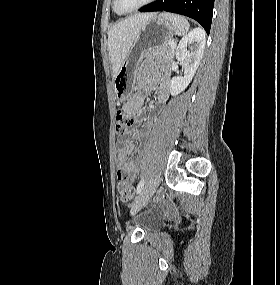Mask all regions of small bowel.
Instances as JSON below:
<instances>
[{
  "instance_id": "obj_1",
  "label": "small bowel",
  "mask_w": 280,
  "mask_h": 285,
  "mask_svg": "<svg viewBox=\"0 0 280 285\" xmlns=\"http://www.w3.org/2000/svg\"><path fill=\"white\" fill-rule=\"evenodd\" d=\"M142 81L147 89H154L157 86L156 98L159 103H164L167 100L170 83V75L167 71L152 80L143 78ZM143 98V91L136 93L127 101L124 108L132 113H138L141 110ZM148 128H150V124ZM119 144L120 147L117 150V175L121 179L135 180L139 174L138 165L131 156L135 151V144L125 136L119 139Z\"/></svg>"
}]
</instances>
